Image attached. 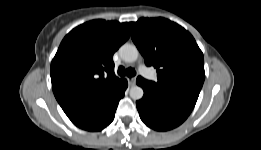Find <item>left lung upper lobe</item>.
<instances>
[{
    "label": "left lung upper lobe",
    "instance_id": "obj_1",
    "mask_svg": "<svg viewBox=\"0 0 261 150\" xmlns=\"http://www.w3.org/2000/svg\"><path fill=\"white\" fill-rule=\"evenodd\" d=\"M129 24L145 64L157 69V82L140 80L158 89L198 98L205 79L204 57L193 36L165 18H141Z\"/></svg>",
    "mask_w": 261,
    "mask_h": 150
}]
</instances>
